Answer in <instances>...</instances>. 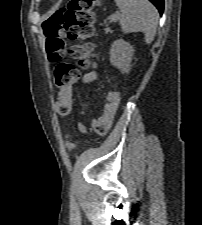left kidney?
I'll use <instances>...</instances> for the list:
<instances>
[{"instance_id":"5707ae66","label":"left kidney","mask_w":202,"mask_h":225,"mask_svg":"<svg viewBox=\"0 0 202 225\" xmlns=\"http://www.w3.org/2000/svg\"><path fill=\"white\" fill-rule=\"evenodd\" d=\"M133 54V46L123 39H118L111 45L110 62L122 73H126L130 70Z\"/></svg>"}]
</instances>
